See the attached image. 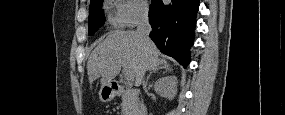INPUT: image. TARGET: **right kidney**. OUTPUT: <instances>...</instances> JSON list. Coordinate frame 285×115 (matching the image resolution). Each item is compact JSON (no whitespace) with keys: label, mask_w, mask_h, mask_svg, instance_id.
<instances>
[{"label":"right kidney","mask_w":285,"mask_h":115,"mask_svg":"<svg viewBox=\"0 0 285 115\" xmlns=\"http://www.w3.org/2000/svg\"><path fill=\"white\" fill-rule=\"evenodd\" d=\"M177 77L166 76L160 78L154 85L155 91L161 97L172 100L177 93Z\"/></svg>","instance_id":"ca27d5eb"}]
</instances>
